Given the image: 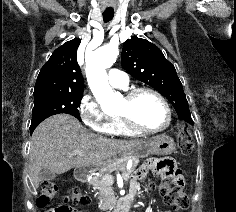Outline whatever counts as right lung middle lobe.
<instances>
[{
	"label": "right lung middle lobe",
	"mask_w": 236,
	"mask_h": 212,
	"mask_svg": "<svg viewBox=\"0 0 236 212\" xmlns=\"http://www.w3.org/2000/svg\"><path fill=\"white\" fill-rule=\"evenodd\" d=\"M82 95L83 92L46 93L34 96L30 132L32 133L44 119L59 113L70 114L81 121L78 107L80 106Z\"/></svg>",
	"instance_id": "dd1d6c3e"
}]
</instances>
